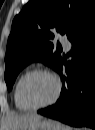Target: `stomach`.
I'll list each match as a JSON object with an SVG mask.
<instances>
[{
	"instance_id": "0dacf381",
	"label": "stomach",
	"mask_w": 95,
	"mask_h": 130,
	"mask_svg": "<svg viewBox=\"0 0 95 130\" xmlns=\"http://www.w3.org/2000/svg\"><path fill=\"white\" fill-rule=\"evenodd\" d=\"M27 130H63L62 125L51 119H40L29 125Z\"/></svg>"
}]
</instances>
